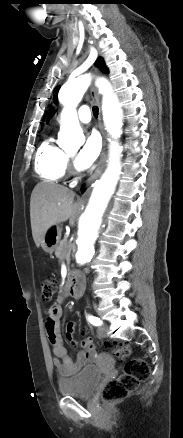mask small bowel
I'll return each instance as SVG.
<instances>
[{
	"label": "small bowel",
	"instance_id": "1",
	"mask_svg": "<svg viewBox=\"0 0 183 438\" xmlns=\"http://www.w3.org/2000/svg\"><path fill=\"white\" fill-rule=\"evenodd\" d=\"M76 276L82 279L80 275ZM61 316L62 307L59 300L52 304L47 310L45 330L52 347V353L55 356L53 360L54 367L61 376H70L78 372L95 358V345L90 338H85L78 342L74 337L75 323L68 322L65 326L66 339L72 346L81 348L76 359L73 360L68 355L67 350L63 345V340L60 334Z\"/></svg>",
	"mask_w": 183,
	"mask_h": 438
}]
</instances>
